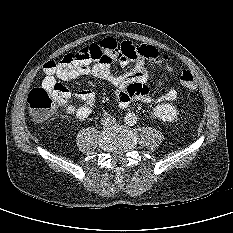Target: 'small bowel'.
Returning <instances> with one entry per match:
<instances>
[{"label": "small bowel", "mask_w": 233, "mask_h": 233, "mask_svg": "<svg viewBox=\"0 0 233 233\" xmlns=\"http://www.w3.org/2000/svg\"><path fill=\"white\" fill-rule=\"evenodd\" d=\"M103 50V56L99 59L79 60L70 66L52 68L44 65L45 79L42 86L51 90L65 106L66 113L79 119L88 117L95 102V94L90 90H82L76 93L70 92L57 80L70 81L81 76H93L110 83L121 107H127L132 101L141 103L170 102L177 98V91L170 88L161 94H154L147 85L149 72L144 60L153 61L159 68L171 70L170 58L150 45H135L129 41L118 42L114 39H105L95 43ZM118 45L116 53L110 49ZM118 61L126 73L115 75L111 64ZM162 85L161 75L157 78V86ZM78 99L82 103L75 106Z\"/></svg>", "instance_id": "1"}]
</instances>
